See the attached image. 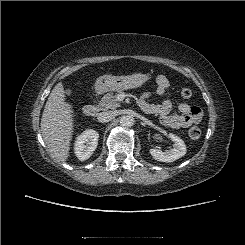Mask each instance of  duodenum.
Instances as JSON below:
<instances>
[{"label":"duodenum","instance_id":"obj_1","mask_svg":"<svg viewBox=\"0 0 245 245\" xmlns=\"http://www.w3.org/2000/svg\"><path fill=\"white\" fill-rule=\"evenodd\" d=\"M97 112H98V107L96 104L85 105L82 109V113L86 117H93L97 114Z\"/></svg>","mask_w":245,"mask_h":245}]
</instances>
